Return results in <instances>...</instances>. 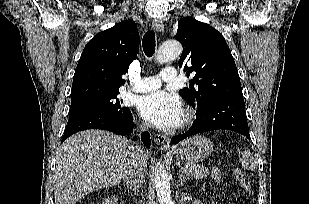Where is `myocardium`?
Segmentation results:
<instances>
[{"label": "myocardium", "mask_w": 309, "mask_h": 204, "mask_svg": "<svg viewBox=\"0 0 309 204\" xmlns=\"http://www.w3.org/2000/svg\"><path fill=\"white\" fill-rule=\"evenodd\" d=\"M193 112L191 110H186L182 116L179 126L186 127L188 126L193 120Z\"/></svg>", "instance_id": "obj_1"}]
</instances>
